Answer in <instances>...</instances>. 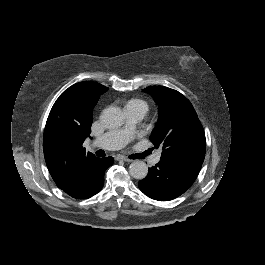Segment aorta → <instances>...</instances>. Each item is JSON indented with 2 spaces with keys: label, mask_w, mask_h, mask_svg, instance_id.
Returning <instances> with one entry per match:
<instances>
[{
  "label": "aorta",
  "mask_w": 265,
  "mask_h": 265,
  "mask_svg": "<svg viewBox=\"0 0 265 265\" xmlns=\"http://www.w3.org/2000/svg\"><path fill=\"white\" fill-rule=\"evenodd\" d=\"M126 116L120 108L108 107L101 114L102 124L109 129L122 126ZM129 173L135 179H143L148 173V166L142 160H134L129 166Z\"/></svg>",
  "instance_id": "obj_1"
}]
</instances>
